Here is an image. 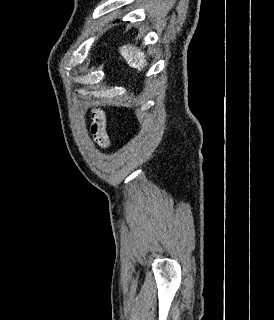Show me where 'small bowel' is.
<instances>
[{"label":"small bowel","mask_w":274,"mask_h":320,"mask_svg":"<svg viewBox=\"0 0 274 320\" xmlns=\"http://www.w3.org/2000/svg\"><path fill=\"white\" fill-rule=\"evenodd\" d=\"M91 120L90 131L94 140L102 147H109L110 140L106 132V119L103 111L95 108L92 111Z\"/></svg>","instance_id":"c3829d8e"}]
</instances>
